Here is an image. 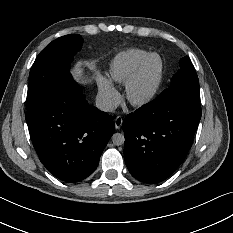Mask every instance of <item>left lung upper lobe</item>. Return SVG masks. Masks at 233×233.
Instances as JSON below:
<instances>
[{
    "mask_svg": "<svg viewBox=\"0 0 233 233\" xmlns=\"http://www.w3.org/2000/svg\"><path fill=\"white\" fill-rule=\"evenodd\" d=\"M180 67L173 76L170 87L162 91L157 99L166 102L191 101L199 103V81L188 56L180 60Z\"/></svg>",
    "mask_w": 233,
    "mask_h": 233,
    "instance_id": "obj_1",
    "label": "left lung upper lobe"
}]
</instances>
